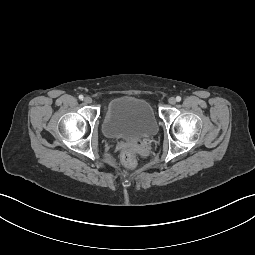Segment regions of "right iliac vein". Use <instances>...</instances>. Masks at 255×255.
I'll return each instance as SVG.
<instances>
[{
  "label": "right iliac vein",
  "instance_id": "63e3f726",
  "mask_svg": "<svg viewBox=\"0 0 255 255\" xmlns=\"http://www.w3.org/2000/svg\"><path fill=\"white\" fill-rule=\"evenodd\" d=\"M84 102H85L86 104H90V103H92V98L89 97V96H87V97L84 98Z\"/></svg>",
  "mask_w": 255,
  "mask_h": 255
}]
</instances>
